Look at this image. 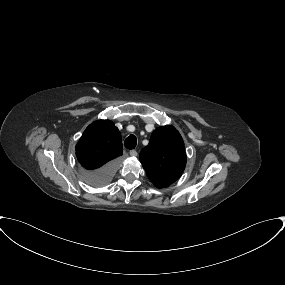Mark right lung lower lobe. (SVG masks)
Wrapping results in <instances>:
<instances>
[{
    "label": "right lung lower lobe",
    "instance_id": "obj_1",
    "mask_svg": "<svg viewBox=\"0 0 285 285\" xmlns=\"http://www.w3.org/2000/svg\"><path fill=\"white\" fill-rule=\"evenodd\" d=\"M116 167L117 160H113L99 169L93 171H85L83 178L89 185L100 187L110 182L114 175Z\"/></svg>",
    "mask_w": 285,
    "mask_h": 285
}]
</instances>
